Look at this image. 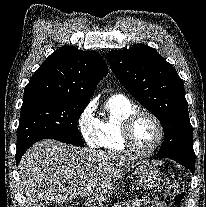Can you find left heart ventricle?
I'll return each instance as SVG.
<instances>
[{"instance_id":"b2bd125f","label":"left heart ventricle","mask_w":206,"mask_h":207,"mask_svg":"<svg viewBox=\"0 0 206 207\" xmlns=\"http://www.w3.org/2000/svg\"><path fill=\"white\" fill-rule=\"evenodd\" d=\"M133 142L141 150L154 146L158 138V128L148 117L139 118L132 128Z\"/></svg>"}]
</instances>
